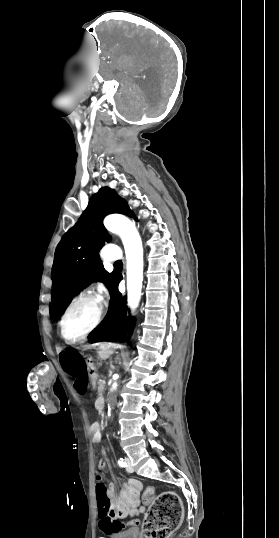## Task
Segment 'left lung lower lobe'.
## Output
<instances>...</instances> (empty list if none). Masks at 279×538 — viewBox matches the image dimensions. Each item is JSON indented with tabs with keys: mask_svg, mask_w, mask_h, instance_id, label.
<instances>
[{
	"mask_svg": "<svg viewBox=\"0 0 279 538\" xmlns=\"http://www.w3.org/2000/svg\"><path fill=\"white\" fill-rule=\"evenodd\" d=\"M119 281L120 279L117 277L113 287L112 297L115 309L101 328L90 333L88 337L91 343L99 341H120L127 337L128 325L132 327L133 321L126 316L128 310L126 300L122 298L118 291Z\"/></svg>",
	"mask_w": 279,
	"mask_h": 538,
	"instance_id": "0a47b994",
	"label": "left lung lower lobe"
}]
</instances>
